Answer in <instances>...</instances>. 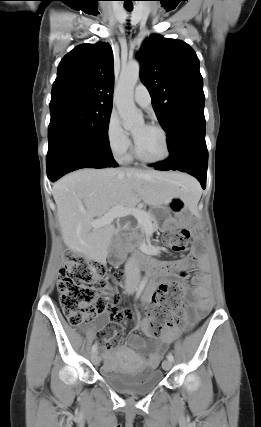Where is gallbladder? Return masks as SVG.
<instances>
[{
	"label": "gallbladder",
	"mask_w": 261,
	"mask_h": 427,
	"mask_svg": "<svg viewBox=\"0 0 261 427\" xmlns=\"http://www.w3.org/2000/svg\"><path fill=\"white\" fill-rule=\"evenodd\" d=\"M111 259H112V262H113V263H116V262H117V260H118L116 256H112V258H111Z\"/></svg>",
	"instance_id": "bac80fb5"
}]
</instances>
